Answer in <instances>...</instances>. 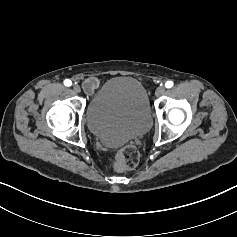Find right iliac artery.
<instances>
[{"instance_id": "right-iliac-artery-1", "label": "right iliac artery", "mask_w": 237, "mask_h": 237, "mask_svg": "<svg viewBox=\"0 0 237 237\" xmlns=\"http://www.w3.org/2000/svg\"><path fill=\"white\" fill-rule=\"evenodd\" d=\"M64 85L68 86V87L71 86L72 85L71 80H69V79L64 80Z\"/></svg>"}]
</instances>
